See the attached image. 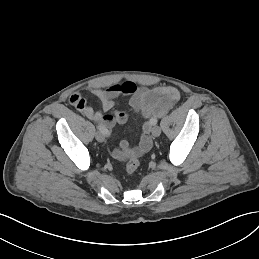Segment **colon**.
Segmentation results:
<instances>
[{"instance_id":"1","label":"colon","mask_w":259,"mask_h":259,"mask_svg":"<svg viewBox=\"0 0 259 259\" xmlns=\"http://www.w3.org/2000/svg\"><path fill=\"white\" fill-rule=\"evenodd\" d=\"M140 161L137 156H132L126 163L125 171L127 174H133L139 167Z\"/></svg>"}]
</instances>
